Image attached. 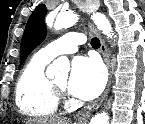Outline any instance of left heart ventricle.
<instances>
[{"instance_id":"1","label":"left heart ventricle","mask_w":145,"mask_h":124,"mask_svg":"<svg viewBox=\"0 0 145 124\" xmlns=\"http://www.w3.org/2000/svg\"><path fill=\"white\" fill-rule=\"evenodd\" d=\"M53 81L60 87L62 88H66L67 82H68V75L67 74H63L60 75L58 77H56L55 79H53Z\"/></svg>"}]
</instances>
